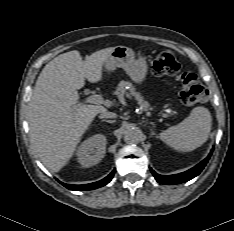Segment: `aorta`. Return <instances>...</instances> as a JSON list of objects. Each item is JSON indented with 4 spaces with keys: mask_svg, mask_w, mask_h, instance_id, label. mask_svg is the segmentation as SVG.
Listing matches in <instances>:
<instances>
[{
    "mask_svg": "<svg viewBox=\"0 0 234 231\" xmlns=\"http://www.w3.org/2000/svg\"><path fill=\"white\" fill-rule=\"evenodd\" d=\"M141 140V131L135 127L127 128L124 132V141L127 144H138Z\"/></svg>",
    "mask_w": 234,
    "mask_h": 231,
    "instance_id": "762f6f07",
    "label": "aorta"
}]
</instances>
